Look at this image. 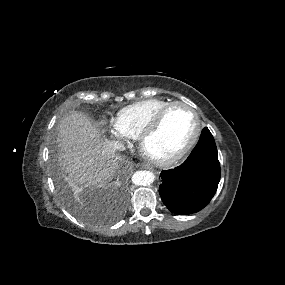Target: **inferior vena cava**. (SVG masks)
I'll use <instances>...</instances> for the list:
<instances>
[{
	"mask_svg": "<svg viewBox=\"0 0 285 285\" xmlns=\"http://www.w3.org/2000/svg\"><path fill=\"white\" fill-rule=\"evenodd\" d=\"M106 149L108 150L110 158L115 160L117 158L116 153L125 150V146L119 141L112 140L106 143Z\"/></svg>",
	"mask_w": 285,
	"mask_h": 285,
	"instance_id": "obj_1",
	"label": "inferior vena cava"
}]
</instances>
